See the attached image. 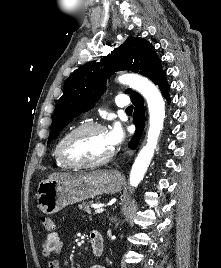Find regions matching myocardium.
Instances as JSON below:
<instances>
[{"mask_svg": "<svg viewBox=\"0 0 221 268\" xmlns=\"http://www.w3.org/2000/svg\"><path fill=\"white\" fill-rule=\"evenodd\" d=\"M104 130L106 131L105 126H103L100 123L97 122H87L83 123L71 131H69L58 143L57 147V155L59 160L64 163L65 165L72 167V168H85V167H95V166H100L103 165L107 162H109L114 154L115 151L112 149V151L107 154L106 156L96 159V160H78L70 157L67 152H66V146L68 142L76 135L88 131V130Z\"/></svg>", "mask_w": 221, "mask_h": 268, "instance_id": "1", "label": "myocardium"}]
</instances>
